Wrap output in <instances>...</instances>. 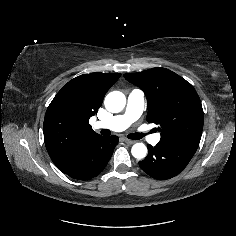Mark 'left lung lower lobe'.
I'll return each instance as SVG.
<instances>
[{
	"instance_id": "obj_1",
	"label": "left lung lower lobe",
	"mask_w": 236,
	"mask_h": 236,
	"mask_svg": "<svg viewBox=\"0 0 236 236\" xmlns=\"http://www.w3.org/2000/svg\"><path fill=\"white\" fill-rule=\"evenodd\" d=\"M198 145L195 142H159L155 147L149 145L148 155L139 165L155 179H170L187 166Z\"/></svg>"
}]
</instances>
